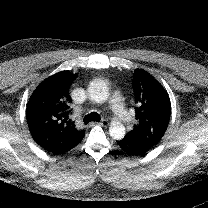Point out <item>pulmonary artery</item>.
Here are the masks:
<instances>
[{
  "mask_svg": "<svg viewBox=\"0 0 208 208\" xmlns=\"http://www.w3.org/2000/svg\"><path fill=\"white\" fill-rule=\"evenodd\" d=\"M106 107L110 109L116 118L121 122H129L132 115L124 106V99L120 93H114L106 103Z\"/></svg>",
  "mask_w": 208,
  "mask_h": 208,
  "instance_id": "pulmonary-artery-1",
  "label": "pulmonary artery"
}]
</instances>
